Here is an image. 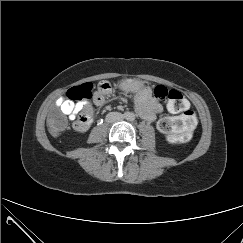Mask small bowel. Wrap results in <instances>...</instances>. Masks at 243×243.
<instances>
[{
  "label": "small bowel",
  "instance_id": "obj_1",
  "mask_svg": "<svg viewBox=\"0 0 243 243\" xmlns=\"http://www.w3.org/2000/svg\"><path fill=\"white\" fill-rule=\"evenodd\" d=\"M107 93H109V91L103 93L97 90L94 94V103L96 105H102L104 102V95ZM56 105L64 115L68 116L70 121H74V124L77 120L76 117L80 112H89L92 114L93 111V106L89 102L74 103L70 100L59 98ZM135 108L138 115L148 122L154 121L157 115L163 110L158 99L152 96L151 89L149 87H143L137 92L135 97ZM87 126L80 130H85Z\"/></svg>",
  "mask_w": 243,
  "mask_h": 243
}]
</instances>
